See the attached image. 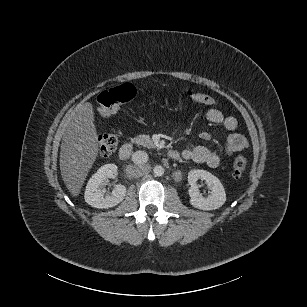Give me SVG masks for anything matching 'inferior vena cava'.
<instances>
[{
  "instance_id": "602c4592",
  "label": "inferior vena cava",
  "mask_w": 307,
  "mask_h": 307,
  "mask_svg": "<svg viewBox=\"0 0 307 307\" xmlns=\"http://www.w3.org/2000/svg\"><path fill=\"white\" fill-rule=\"evenodd\" d=\"M148 160H149V157L147 153L143 151H136L132 155V161L136 164H144V163H147Z\"/></svg>"
}]
</instances>
